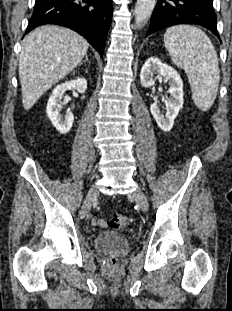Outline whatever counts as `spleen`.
<instances>
[{
  "label": "spleen",
  "instance_id": "spleen-1",
  "mask_svg": "<svg viewBox=\"0 0 232 311\" xmlns=\"http://www.w3.org/2000/svg\"><path fill=\"white\" fill-rule=\"evenodd\" d=\"M165 47L172 61L184 69L195 105L202 111L215 101L220 70L216 50L209 37L191 25H176L164 34Z\"/></svg>",
  "mask_w": 232,
  "mask_h": 311
}]
</instances>
